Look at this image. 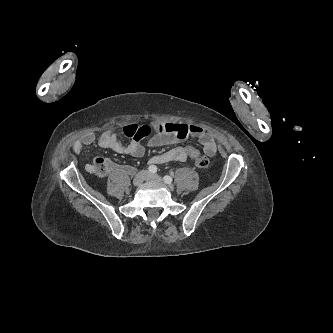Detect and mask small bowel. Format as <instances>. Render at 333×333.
Here are the masks:
<instances>
[{"label": "small bowel", "instance_id": "c3829d8e", "mask_svg": "<svg viewBox=\"0 0 333 333\" xmlns=\"http://www.w3.org/2000/svg\"><path fill=\"white\" fill-rule=\"evenodd\" d=\"M122 133L131 138L128 144L121 143L115 130H106L98 138V144L105 149H110L116 153L142 157L145 153V147L141 139L149 138L151 146H161L181 142L188 137H195L202 145V153L192 148L189 152L180 146L174 147L162 154L153 156L150 159L152 165H160L173 161H184L187 157L194 159L197 155L203 154L211 157L216 153V143L214 138L203 128L197 125L154 121L150 126H139L135 124L123 127ZM96 140L94 133L89 132L73 143L72 149L75 153H80L85 146L91 145ZM112 164L102 157H97L87 167V170L97 176L103 175L112 169ZM127 171H130L127 168Z\"/></svg>", "mask_w": 333, "mask_h": 333}]
</instances>
